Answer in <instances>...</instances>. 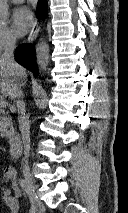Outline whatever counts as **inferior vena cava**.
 <instances>
[{
    "label": "inferior vena cava",
    "instance_id": "602c4592",
    "mask_svg": "<svg viewBox=\"0 0 128 213\" xmlns=\"http://www.w3.org/2000/svg\"><path fill=\"white\" fill-rule=\"evenodd\" d=\"M15 42L16 39L13 36L6 38L4 52L1 59L10 66L14 75H19L21 66L14 61ZM10 97L13 98L17 104L18 122L24 147V162L27 164L30 153V125L28 117L26 116L25 103L20 84L15 85L13 90L10 92Z\"/></svg>",
    "mask_w": 128,
    "mask_h": 213
}]
</instances>
